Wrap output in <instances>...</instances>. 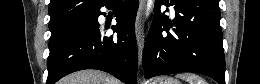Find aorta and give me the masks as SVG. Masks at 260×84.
<instances>
[{
  "label": "aorta",
  "mask_w": 260,
  "mask_h": 84,
  "mask_svg": "<svg viewBox=\"0 0 260 84\" xmlns=\"http://www.w3.org/2000/svg\"><path fill=\"white\" fill-rule=\"evenodd\" d=\"M153 2L151 0L148 1L147 7L150 8L152 6Z\"/></svg>",
  "instance_id": "1"
}]
</instances>
